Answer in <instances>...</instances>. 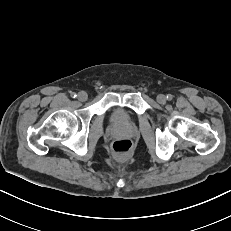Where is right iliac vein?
I'll use <instances>...</instances> for the list:
<instances>
[{"label":"right iliac vein","instance_id":"1","mask_svg":"<svg viewBox=\"0 0 231 231\" xmlns=\"http://www.w3.org/2000/svg\"><path fill=\"white\" fill-rule=\"evenodd\" d=\"M77 98L79 101H86L88 98V95L85 91H80L77 95Z\"/></svg>","mask_w":231,"mask_h":231}]
</instances>
